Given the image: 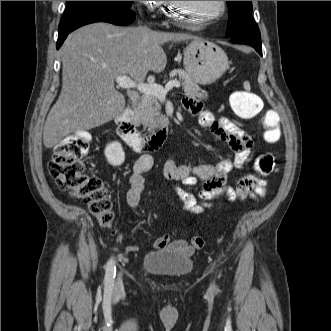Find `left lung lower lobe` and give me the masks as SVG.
Segmentation results:
<instances>
[{
  "label": "left lung lower lobe",
  "mask_w": 331,
  "mask_h": 331,
  "mask_svg": "<svg viewBox=\"0 0 331 331\" xmlns=\"http://www.w3.org/2000/svg\"><path fill=\"white\" fill-rule=\"evenodd\" d=\"M231 41L234 42V43H241V44L251 45L262 56V47H261L260 34L236 36V37H232Z\"/></svg>",
  "instance_id": "left-lung-lower-lobe-1"
}]
</instances>
